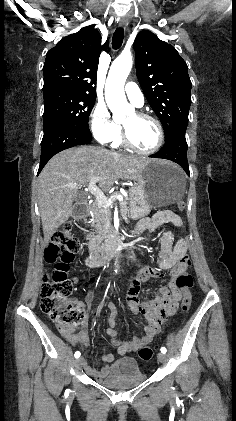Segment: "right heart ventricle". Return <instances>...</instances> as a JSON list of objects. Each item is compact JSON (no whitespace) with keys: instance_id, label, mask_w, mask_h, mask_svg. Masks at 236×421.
Wrapping results in <instances>:
<instances>
[{"instance_id":"1","label":"right heart ventricle","mask_w":236,"mask_h":421,"mask_svg":"<svg viewBox=\"0 0 236 421\" xmlns=\"http://www.w3.org/2000/svg\"><path fill=\"white\" fill-rule=\"evenodd\" d=\"M112 147L113 148H118L120 146H122V138L120 136V134L112 141Z\"/></svg>"}]
</instances>
